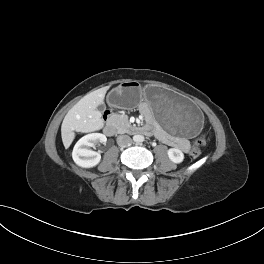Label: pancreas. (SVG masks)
I'll use <instances>...</instances> for the list:
<instances>
[{"mask_svg":"<svg viewBox=\"0 0 264 264\" xmlns=\"http://www.w3.org/2000/svg\"><path fill=\"white\" fill-rule=\"evenodd\" d=\"M111 118L114 121L116 127L122 131L130 127L128 117L126 115L113 114Z\"/></svg>","mask_w":264,"mask_h":264,"instance_id":"1","label":"pancreas"}]
</instances>
